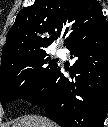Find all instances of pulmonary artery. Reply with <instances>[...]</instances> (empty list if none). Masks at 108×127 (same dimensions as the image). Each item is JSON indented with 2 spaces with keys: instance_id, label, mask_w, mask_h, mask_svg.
I'll return each mask as SVG.
<instances>
[{
  "instance_id": "e3ab8cb5",
  "label": "pulmonary artery",
  "mask_w": 108,
  "mask_h": 127,
  "mask_svg": "<svg viewBox=\"0 0 108 127\" xmlns=\"http://www.w3.org/2000/svg\"><path fill=\"white\" fill-rule=\"evenodd\" d=\"M56 53H57V55H62L63 54L62 50H60V49H58Z\"/></svg>"
}]
</instances>
